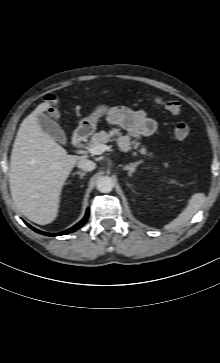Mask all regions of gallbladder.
<instances>
[{"label": "gallbladder", "instance_id": "1", "mask_svg": "<svg viewBox=\"0 0 220 363\" xmlns=\"http://www.w3.org/2000/svg\"><path fill=\"white\" fill-rule=\"evenodd\" d=\"M37 120L40 127L45 133L49 134L56 141L62 144H66V134L58 123H56L54 120L44 114H39L37 116Z\"/></svg>", "mask_w": 220, "mask_h": 363}]
</instances>
